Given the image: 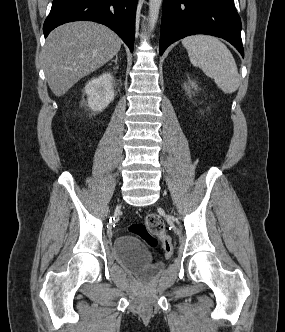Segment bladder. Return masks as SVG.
I'll return each mask as SVG.
<instances>
[{"label":"bladder","instance_id":"bladder-1","mask_svg":"<svg viewBox=\"0 0 285 332\" xmlns=\"http://www.w3.org/2000/svg\"><path fill=\"white\" fill-rule=\"evenodd\" d=\"M113 255L124 268L150 278L163 268V263L153 259L151 253L133 235L118 236L113 243Z\"/></svg>","mask_w":285,"mask_h":332}]
</instances>
